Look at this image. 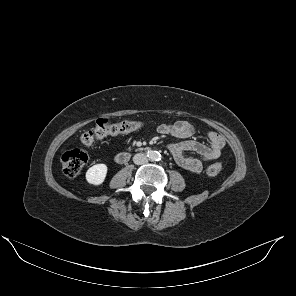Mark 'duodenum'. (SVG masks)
I'll return each instance as SVG.
<instances>
[{
	"label": "duodenum",
	"mask_w": 296,
	"mask_h": 296,
	"mask_svg": "<svg viewBox=\"0 0 296 296\" xmlns=\"http://www.w3.org/2000/svg\"><path fill=\"white\" fill-rule=\"evenodd\" d=\"M130 158V155L128 153H119L115 157V162L117 164H124L126 163Z\"/></svg>",
	"instance_id": "410a0bca"
}]
</instances>
